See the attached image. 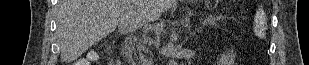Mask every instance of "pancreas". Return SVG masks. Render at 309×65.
<instances>
[{
    "mask_svg": "<svg viewBox=\"0 0 309 65\" xmlns=\"http://www.w3.org/2000/svg\"><path fill=\"white\" fill-rule=\"evenodd\" d=\"M157 42H158L157 39L152 40V43H157Z\"/></svg>",
    "mask_w": 309,
    "mask_h": 65,
    "instance_id": "pancreas-1",
    "label": "pancreas"
}]
</instances>
